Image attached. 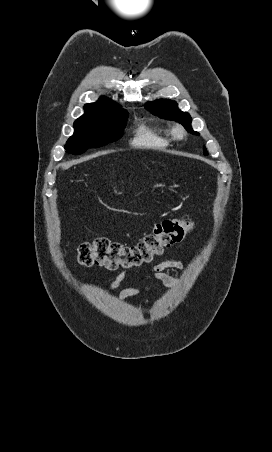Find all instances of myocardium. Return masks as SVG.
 Returning <instances> with one entry per match:
<instances>
[{
    "mask_svg": "<svg viewBox=\"0 0 272 452\" xmlns=\"http://www.w3.org/2000/svg\"><path fill=\"white\" fill-rule=\"evenodd\" d=\"M174 135L177 138H182L185 135V132L182 127L177 126L176 128H174Z\"/></svg>",
    "mask_w": 272,
    "mask_h": 452,
    "instance_id": "obj_1",
    "label": "myocardium"
}]
</instances>
